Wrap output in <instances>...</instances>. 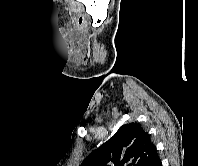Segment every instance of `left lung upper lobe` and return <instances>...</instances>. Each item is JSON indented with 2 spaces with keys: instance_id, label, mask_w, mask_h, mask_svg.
Listing matches in <instances>:
<instances>
[{
  "instance_id": "left-lung-upper-lobe-1",
  "label": "left lung upper lobe",
  "mask_w": 198,
  "mask_h": 166,
  "mask_svg": "<svg viewBox=\"0 0 198 166\" xmlns=\"http://www.w3.org/2000/svg\"><path fill=\"white\" fill-rule=\"evenodd\" d=\"M156 155L150 135L139 124L129 123L88 155L81 166H149Z\"/></svg>"
}]
</instances>
